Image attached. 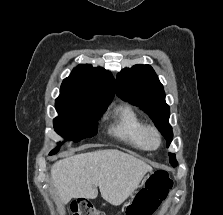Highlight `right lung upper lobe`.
I'll return each mask as SVG.
<instances>
[{
    "label": "right lung upper lobe",
    "instance_id": "obj_1",
    "mask_svg": "<svg viewBox=\"0 0 223 215\" xmlns=\"http://www.w3.org/2000/svg\"><path fill=\"white\" fill-rule=\"evenodd\" d=\"M114 78L103 68L78 65L62 82L57 107L107 108L114 96Z\"/></svg>",
    "mask_w": 223,
    "mask_h": 215
}]
</instances>
